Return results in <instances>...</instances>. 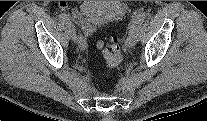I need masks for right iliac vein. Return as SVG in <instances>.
<instances>
[{
    "label": "right iliac vein",
    "mask_w": 207,
    "mask_h": 121,
    "mask_svg": "<svg viewBox=\"0 0 207 121\" xmlns=\"http://www.w3.org/2000/svg\"><path fill=\"white\" fill-rule=\"evenodd\" d=\"M68 33L74 42H79V37L76 34V28L71 22L68 23ZM81 47L84 46L81 45Z\"/></svg>",
    "instance_id": "right-iliac-vein-1"
}]
</instances>
